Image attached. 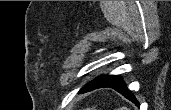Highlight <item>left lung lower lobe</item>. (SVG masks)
Instances as JSON below:
<instances>
[{"mask_svg":"<svg viewBox=\"0 0 171 110\" xmlns=\"http://www.w3.org/2000/svg\"><path fill=\"white\" fill-rule=\"evenodd\" d=\"M104 87L113 88L114 90L122 94L124 97H126L127 99L135 103L137 106H139L137 99L130 92V90L126 87L121 77H118V76H112V75L100 76L96 78L95 80L86 84L84 87H82L79 93H85V92L92 91L97 88H104Z\"/></svg>","mask_w":171,"mask_h":110,"instance_id":"left-lung-lower-lobe-1","label":"left lung lower lobe"}]
</instances>
